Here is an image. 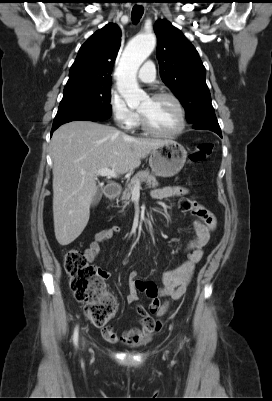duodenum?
I'll return each instance as SVG.
<instances>
[{
  "instance_id": "1",
  "label": "duodenum",
  "mask_w": 272,
  "mask_h": 401,
  "mask_svg": "<svg viewBox=\"0 0 272 401\" xmlns=\"http://www.w3.org/2000/svg\"><path fill=\"white\" fill-rule=\"evenodd\" d=\"M121 191V186L118 184H109L105 187V194L109 199H115Z\"/></svg>"
}]
</instances>
